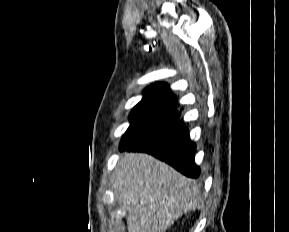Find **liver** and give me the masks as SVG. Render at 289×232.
Returning a JSON list of instances; mask_svg holds the SVG:
<instances>
[{
	"label": "liver",
	"mask_w": 289,
	"mask_h": 232,
	"mask_svg": "<svg viewBox=\"0 0 289 232\" xmlns=\"http://www.w3.org/2000/svg\"><path fill=\"white\" fill-rule=\"evenodd\" d=\"M113 188L127 212L128 232H165L201 201L193 180L147 153L120 157Z\"/></svg>",
	"instance_id": "obj_1"
}]
</instances>
